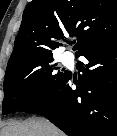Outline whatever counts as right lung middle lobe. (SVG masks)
Instances as JSON below:
<instances>
[{
    "mask_svg": "<svg viewBox=\"0 0 117 136\" xmlns=\"http://www.w3.org/2000/svg\"><path fill=\"white\" fill-rule=\"evenodd\" d=\"M58 69L53 56H32L8 64L4 79L3 115L20 111L29 102L56 88L68 74Z\"/></svg>",
    "mask_w": 117,
    "mask_h": 136,
    "instance_id": "obj_1",
    "label": "right lung middle lobe"
}]
</instances>
